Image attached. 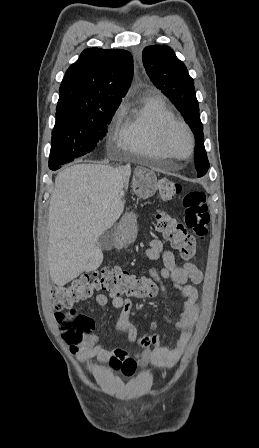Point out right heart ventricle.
I'll use <instances>...</instances> for the list:
<instances>
[{
  "label": "right heart ventricle",
  "instance_id": "right-heart-ventricle-1",
  "mask_svg": "<svg viewBox=\"0 0 259 448\" xmlns=\"http://www.w3.org/2000/svg\"><path fill=\"white\" fill-rule=\"evenodd\" d=\"M173 118L174 113L157 92L123 101L115 122L123 148L131 150L125 155L127 163H146L143 158L146 151L161 149L158 141L160 127Z\"/></svg>",
  "mask_w": 259,
  "mask_h": 448
}]
</instances>
